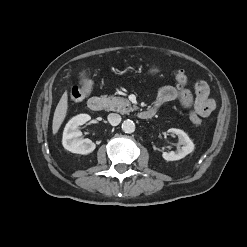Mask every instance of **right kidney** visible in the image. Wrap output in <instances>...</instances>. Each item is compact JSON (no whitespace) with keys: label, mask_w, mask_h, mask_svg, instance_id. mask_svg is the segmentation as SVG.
<instances>
[{"label":"right kidney","mask_w":247,"mask_h":247,"mask_svg":"<svg viewBox=\"0 0 247 247\" xmlns=\"http://www.w3.org/2000/svg\"><path fill=\"white\" fill-rule=\"evenodd\" d=\"M90 119L91 116L88 114H79L69 120L63 131L62 138V144L66 150L83 155L95 150L96 145L90 139L82 138V133L79 131V126Z\"/></svg>","instance_id":"obj_1"}]
</instances>
